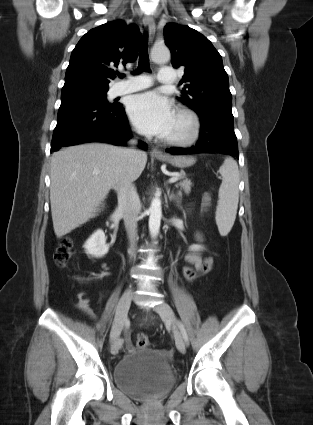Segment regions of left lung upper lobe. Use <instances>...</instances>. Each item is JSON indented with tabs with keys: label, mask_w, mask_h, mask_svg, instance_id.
<instances>
[{
	"label": "left lung upper lobe",
	"mask_w": 313,
	"mask_h": 425,
	"mask_svg": "<svg viewBox=\"0 0 313 425\" xmlns=\"http://www.w3.org/2000/svg\"><path fill=\"white\" fill-rule=\"evenodd\" d=\"M164 39L171 50L172 65L185 67L180 83L187 91L178 99L198 115L208 110L231 111L228 75L212 43L196 30L177 23L165 26Z\"/></svg>",
	"instance_id": "obj_1"
}]
</instances>
